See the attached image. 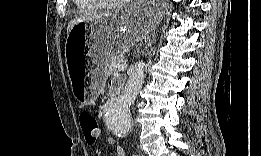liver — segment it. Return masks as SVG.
<instances>
[{
	"mask_svg": "<svg viewBox=\"0 0 261 156\" xmlns=\"http://www.w3.org/2000/svg\"><path fill=\"white\" fill-rule=\"evenodd\" d=\"M116 16H117V14L113 13V12H101V13H93L90 15L86 14L83 16H77V17L73 18L71 21H69L68 26H67V35L71 31V29L79 23L115 18Z\"/></svg>",
	"mask_w": 261,
	"mask_h": 156,
	"instance_id": "liver-1",
	"label": "liver"
}]
</instances>
